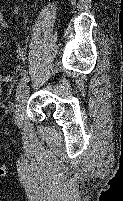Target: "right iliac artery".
<instances>
[{
	"instance_id": "right-iliac-artery-1",
	"label": "right iliac artery",
	"mask_w": 123,
	"mask_h": 201,
	"mask_svg": "<svg viewBox=\"0 0 123 201\" xmlns=\"http://www.w3.org/2000/svg\"><path fill=\"white\" fill-rule=\"evenodd\" d=\"M28 80H29V77H28V76H24V77L20 80V82H19V84H18V86H17V89H16V97H17V99L19 98V96H20L21 93L23 92V90H24V88H25V86H26Z\"/></svg>"
}]
</instances>
